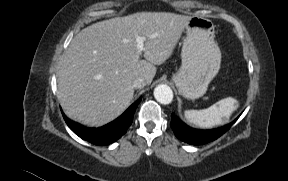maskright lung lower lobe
I'll use <instances>...</instances> for the list:
<instances>
[{
  "label": "right lung lower lobe",
  "instance_id": "98d812e1",
  "mask_svg": "<svg viewBox=\"0 0 288 181\" xmlns=\"http://www.w3.org/2000/svg\"><path fill=\"white\" fill-rule=\"evenodd\" d=\"M141 98L133 103L120 117L98 128H89L70 121L64 116L68 127L81 139L95 145H109L121 138L131 126L135 110Z\"/></svg>",
  "mask_w": 288,
  "mask_h": 181
}]
</instances>
